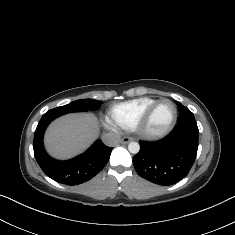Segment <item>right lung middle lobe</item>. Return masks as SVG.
I'll return each instance as SVG.
<instances>
[{"label": "right lung middle lobe", "instance_id": "dd1d6c3e", "mask_svg": "<svg viewBox=\"0 0 235 235\" xmlns=\"http://www.w3.org/2000/svg\"><path fill=\"white\" fill-rule=\"evenodd\" d=\"M102 104V101L94 99H81L70 104L54 108L53 111L59 115H63L70 112H79L87 110H97Z\"/></svg>", "mask_w": 235, "mask_h": 235}]
</instances>
